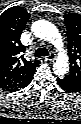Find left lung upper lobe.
I'll return each mask as SVG.
<instances>
[{
    "mask_svg": "<svg viewBox=\"0 0 81 124\" xmlns=\"http://www.w3.org/2000/svg\"><path fill=\"white\" fill-rule=\"evenodd\" d=\"M64 20L68 34L70 62V70L65 78L81 86V15L68 13L64 15Z\"/></svg>",
    "mask_w": 81,
    "mask_h": 124,
    "instance_id": "left-lung-upper-lobe-1",
    "label": "left lung upper lobe"
}]
</instances>
